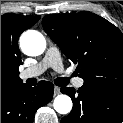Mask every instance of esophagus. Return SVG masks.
Listing matches in <instances>:
<instances>
[{
  "label": "esophagus",
  "instance_id": "esophagus-1",
  "mask_svg": "<svg viewBox=\"0 0 123 123\" xmlns=\"http://www.w3.org/2000/svg\"><path fill=\"white\" fill-rule=\"evenodd\" d=\"M61 93L60 88L55 86L54 88V96L59 95Z\"/></svg>",
  "mask_w": 123,
  "mask_h": 123
}]
</instances>
